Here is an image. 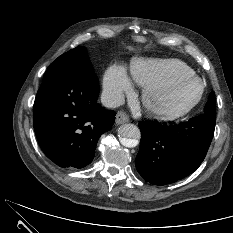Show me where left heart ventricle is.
<instances>
[{"label":"left heart ventricle","instance_id":"left-heart-ventricle-1","mask_svg":"<svg viewBox=\"0 0 233 233\" xmlns=\"http://www.w3.org/2000/svg\"><path fill=\"white\" fill-rule=\"evenodd\" d=\"M200 85L195 81H183L177 85L160 91L154 96V100L160 106L179 110L190 104L198 95Z\"/></svg>","mask_w":233,"mask_h":233}]
</instances>
